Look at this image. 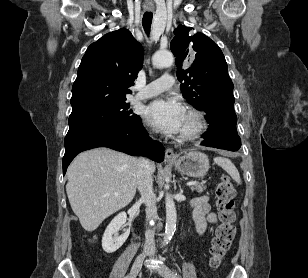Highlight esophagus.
<instances>
[{"label":"esophagus","mask_w":308,"mask_h":278,"mask_svg":"<svg viewBox=\"0 0 308 278\" xmlns=\"http://www.w3.org/2000/svg\"><path fill=\"white\" fill-rule=\"evenodd\" d=\"M176 159L174 151L172 148H167L165 150V161H173Z\"/></svg>","instance_id":"obj_1"}]
</instances>
